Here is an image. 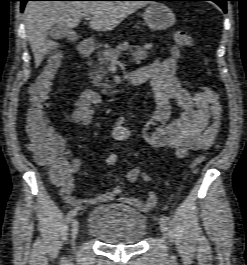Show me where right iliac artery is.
I'll use <instances>...</instances> for the list:
<instances>
[{
    "label": "right iliac artery",
    "instance_id": "82829eb1",
    "mask_svg": "<svg viewBox=\"0 0 247 265\" xmlns=\"http://www.w3.org/2000/svg\"><path fill=\"white\" fill-rule=\"evenodd\" d=\"M82 208H83V206H80V207L74 208L71 211H69V213L67 215V221L71 222L73 220V218L76 216L77 211L82 209Z\"/></svg>",
    "mask_w": 247,
    "mask_h": 265
}]
</instances>
